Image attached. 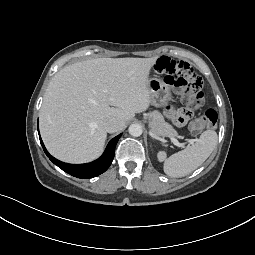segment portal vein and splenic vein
Instances as JSON below:
<instances>
[{
  "label": "portal vein and splenic vein",
  "instance_id": "portal-vein-and-splenic-vein-1",
  "mask_svg": "<svg viewBox=\"0 0 255 255\" xmlns=\"http://www.w3.org/2000/svg\"><path fill=\"white\" fill-rule=\"evenodd\" d=\"M171 141L173 142L174 145L179 146V147H183V144L179 143L178 140L174 137H170ZM196 139H189L188 142L190 144H194V142H196Z\"/></svg>",
  "mask_w": 255,
  "mask_h": 255
}]
</instances>
